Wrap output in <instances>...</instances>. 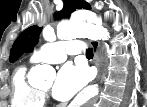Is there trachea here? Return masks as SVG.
Masks as SVG:
<instances>
[{
    "label": "trachea",
    "instance_id": "1",
    "mask_svg": "<svg viewBox=\"0 0 147 107\" xmlns=\"http://www.w3.org/2000/svg\"><path fill=\"white\" fill-rule=\"evenodd\" d=\"M86 57L87 58H93V50L89 49L86 51Z\"/></svg>",
    "mask_w": 147,
    "mask_h": 107
}]
</instances>
